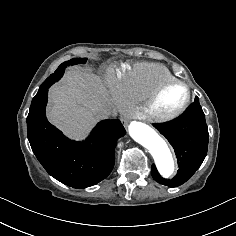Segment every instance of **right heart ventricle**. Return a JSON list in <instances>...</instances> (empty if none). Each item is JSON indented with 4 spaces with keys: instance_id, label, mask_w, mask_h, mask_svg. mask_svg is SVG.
<instances>
[{
    "instance_id": "right-heart-ventricle-1",
    "label": "right heart ventricle",
    "mask_w": 236,
    "mask_h": 236,
    "mask_svg": "<svg viewBox=\"0 0 236 236\" xmlns=\"http://www.w3.org/2000/svg\"><path fill=\"white\" fill-rule=\"evenodd\" d=\"M175 79L172 72L163 65L135 64L122 82L124 98L127 103L144 102L161 83Z\"/></svg>"
}]
</instances>
